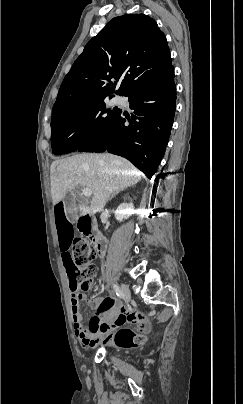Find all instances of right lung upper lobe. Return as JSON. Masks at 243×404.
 Segmentation results:
<instances>
[{
    "label": "right lung upper lobe",
    "mask_w": 243,
    "mask_h": 404,
    "mask_svg": "<svg viewBox=\"0 0 243 404\" xmlns=\"http://www.w3.org/2000/svg\"><path fill=\"white\" fill-rule=\"evenodd\" d=\"M170 66L166 37L154 19L144 14L115 17L86 44L65 76L52 117L114 92L125 96Z\"/></svg>",
    "instance_id": "right-lung-upper-lobe-1"
}]
</instances>
